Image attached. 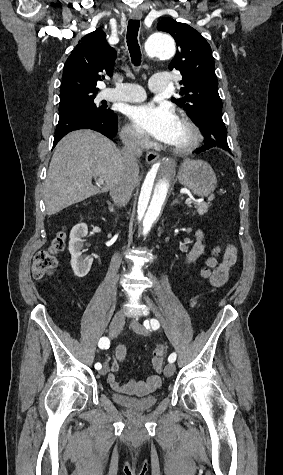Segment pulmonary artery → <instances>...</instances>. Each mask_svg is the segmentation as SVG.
<instances>
[{
    "label": "pulmonary artery",
    "instance_id": "e3ab8cb5",
    "mask_svg": "<svg viewBox=\"0 0 283 475\" xmlns=\"http://www.w3.org/2000/svg\"><path fill=\"white\" fill-rule=\"evenodd\" d=\"M116 87H106L104 94L106 96H116L111 98V101L121 102H139L141 100H147L149 93L135 83H117ZM149 88L155 91L157 96L164 94L165 81L164 80H150Z\"/></svg>",
    "mask_w": 283,
    "mask_h": 475
}]
</instances>
